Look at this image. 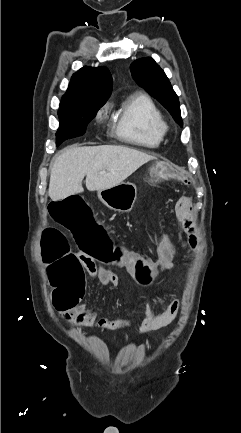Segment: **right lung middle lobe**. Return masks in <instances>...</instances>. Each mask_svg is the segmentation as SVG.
<instances>
[{
    "label": "right lung middle lobe",
    "instance_id": "obj_1",
    "mask_svg": "<svg viewBox=\"0 0 241 433\" xmlns=\"http://www.w3.org/2000/svg\"><path fill=\"white\" fill-rule=\"evenodd\" d=\"M103 104L104 102L61 103L58 112L60 123L56 133V145L66 139L83 135L87 124Z\"/></svg>",
    "mask_w": 241,
    "mask_h": 433
}]
</instances>
